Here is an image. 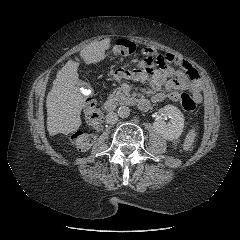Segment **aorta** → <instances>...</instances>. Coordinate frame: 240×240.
Instances as JSON below:
<instances>
[{
  "mask_svg": "<svg viewBox=\"0 0 240 240\" xmlns=\"http://www.w3.org/2000/svg\"><path fill=\"white\" fill-rule=\"evenodd\" d=\"M118 116L121 118H127L130 115V108L127 106H121L118 108Z\"/></svg>",
  "mask_w": 240,
  "mask_h": 240,
  "instance_id": "aorta-1",
  "label": "aorta"
}]
</instances>
